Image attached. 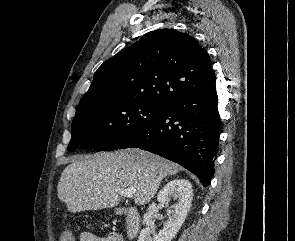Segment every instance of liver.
Here are the masks:
<instances>
[{"label":"liver","mask_w":295,"mask_h":241,"mask_svg":"<svg viewBox=\"0 0 295 241\" xmlns=\"http://www.w3.org/2000/svg\"><path fill=\"white\" fill-rule=\"evenodd\" d=\"M182 167L152 153L127 149L73 158L62 172L58 198L71 213L117 206L119 189H136L134 202L148 203L164 177Z\"/></svg>","instance_id":"1"}]
</instances>
